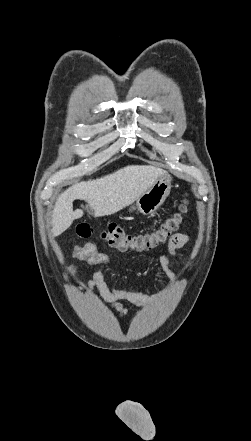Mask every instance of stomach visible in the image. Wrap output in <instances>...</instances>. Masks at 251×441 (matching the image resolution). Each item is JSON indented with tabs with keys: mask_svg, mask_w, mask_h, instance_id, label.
I'll list each match as a JSON object with an SVG mask.
<instances>
[{
	"mask_svg": "<svg viewBox=\"0 0 251 441\" xmlns=\"http://www.w3.org/2000/svg\"><path fill=\"white\" fill-rule=\"evenodd\" d=\"M171 180L167 173L158 177L154 184L131 204L129 212L137 211L149 215L156 211L170 194Z\"/></svg>",
	"mask_w": 251,
	"mask_h": 441,
	"instance_id": "stomach-1",
	"label": "stomach"
}]
</instances>
